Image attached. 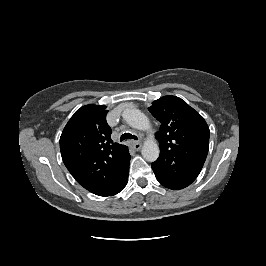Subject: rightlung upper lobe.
Wrapping results in <instances>:
<instances>
[{"label":"right lung upper lobe","mask_w":266,"mask_h":266,"mask_svg":"<svg viewBox=\"0 0 266 266\" xmlns=\"http://www.w3.org/2000/svg\"><path fill=\"white\" fill-rule=\"evenodd\" d=\"M104 105L78 109L60 137L63 162L75 180L99 196H111L127 174L130 154L113 143Z\"/></svg>","instance_id":"obj_1"}]
</instances>
